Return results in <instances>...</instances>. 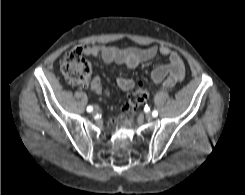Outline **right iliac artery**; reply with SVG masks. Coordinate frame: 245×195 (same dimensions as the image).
<instances>
[{
    "instance_id": "82829eb1",
    "label": "right iliac artery",
    "mask_w": 245,
    "mask_h": 195,
    "mask_svg": "<svg viewBox=\"0 0 245 195\" xmlns=\"http://www.w3.org/2000/svg\"><path fill=\"white\" fill-rule=\"evenodd\" d=\"M93 111V107L92 106H88L87 107V112H92Z\"/></svg>"
}]
</instances>
